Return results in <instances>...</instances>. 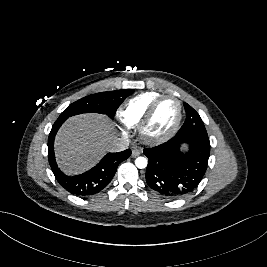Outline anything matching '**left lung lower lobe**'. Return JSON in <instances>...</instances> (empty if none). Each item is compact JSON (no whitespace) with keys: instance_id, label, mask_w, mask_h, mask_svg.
Masks as SVG:
<instances>
[{"instance_id":"left-lung-lower-lobe-1","label":"left lung lower lobe","mask_w":267,"mask_h":267,"mask_svg":"<svg viewBox=\"0 0 267 267\" xmlns=\"http://www.w3.org/2000/svg\"><path fill=\"white\" fill-rule=\"evenodd\" d=\"M187 143L189 150L180 146ZM148 157L146 182L155 192L167 198L191 193L202 180L210 155L207 134L193 132L174 136L169 141L143 150Z\"/></svg>"}]
</instances>
